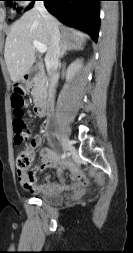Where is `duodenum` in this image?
<instances>
[{"label": "duodenum", "mask_w": 133, "mask_h": 253, "mask_svg": "<svg viewBox=\"0 0 133 253\" xmlns=\"http://www.w3.org/2000/svg\"><path fill=\"white\" fill-rule=\"evenodd\" d=\"M33 76L31 73L25 74L23 78L24 85L28 86L31 84ZM47 111V99L45 97H40L35 103L34 112L37 116H45Z\"/></svg>", "instance_id": "obj_1"}]
</instances>
